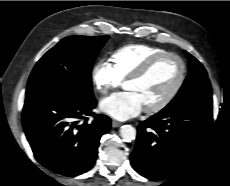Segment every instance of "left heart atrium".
Instances as JSON below:
<instances>
[{"label":"left heart atrium","mask_w":230,"mask_h":186,"mask_svg":"<svg viewBox=\"0 0 230 186\" xmlns=\"http://www.w3.org/2000/svg\"><path fill=\"white\" fill-rule=\"evenodd\" d=\"M100 109L118 120H127L140 114L144 107L131 91L113 94L100 103Z\"/></svg>","instance_id":"39dd6f15"}]
</instances>
